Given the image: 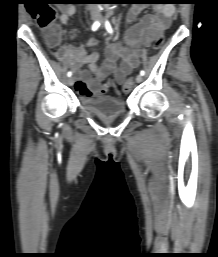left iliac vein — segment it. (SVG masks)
<instances>
[{"label":"left iliac vein","instance_id":"left-iliac-vein-1","mask_svg":"<svg viewBox=\"0 0 218 257\" xmlns=\"http://www.w3.org/2000/svg\"><path fill=\"white\" fill-rule=\"evenodd\" d=\"M101 23L104 24V20H101ZM143 77L141 74H139L137 77H136V82L137 83H140L142 81Z\"/></svg>","mask_w":218,"mask_h":257}]
</instances>
